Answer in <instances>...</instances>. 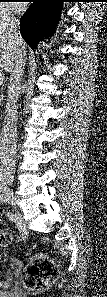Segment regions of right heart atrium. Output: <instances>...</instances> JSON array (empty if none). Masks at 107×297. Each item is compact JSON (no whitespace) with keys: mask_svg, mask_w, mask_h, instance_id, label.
I'll list each match as a JSON object with an SVG mask.
<instances>
[{"mask_svg":"<svg viewBox=\"0 0 107 297\" xmlns=\"http://www.w3.org/2000/svg\"><path fill=\"white\" fill-rule=\"evenodd\" d=\"M11 12L6 8H0V21H10L12 19Z\"/></svg>","mask_w":107,"mask_h":297,"instance_id":"obj_1","label":"right heart atrium"}]
</instances>
